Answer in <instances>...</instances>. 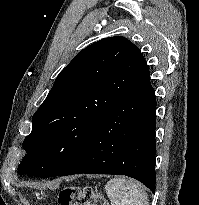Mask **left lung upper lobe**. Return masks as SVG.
Returning a JSON list of instances; mask_svg holds the SVG:
<instances>
[{
	"mask_svg": "<svg viewBox=\"0 0 199 205\" xmlns=\"http://www.w3.org/2000/svg\"><path fill=\"white\" fill-rule=\"evenodd\" d=\"M141 60L138 47L120 36L101 39L79 52L33 115L18 173L53 177L66 169L129 90Z\"/></svg>",
	"mask_w": 199,
	"mask_h": 205,
	"instance_id": "obj_1",
	"label": "left lung upper lobe"
}]
</instances>
